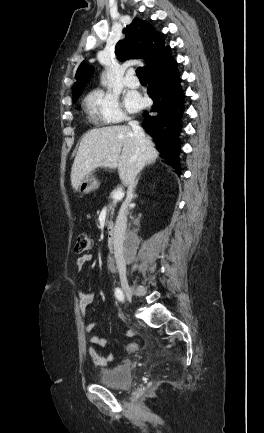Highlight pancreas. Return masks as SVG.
Segmentation results:
<instances>
[{"mask_svg":"<svg viewBox=\"0 0 264 433\" xmlns=\"http://www.w3.org/2000/svg\"><path fill=\"white\" fill-rule=\"evenodd\" d=\"M118 191V190H117ZM116 192V190L112 191L109 195V198L111 199V203L108 206V215H110V218H113L115 207L117 205V200H113V194ZM110 226H112V221L110 222Z\"/></svg>","mask_w":264,"mask_h":433,"instance_id":"obj_1","label":"pancreas"}]
</instances>
